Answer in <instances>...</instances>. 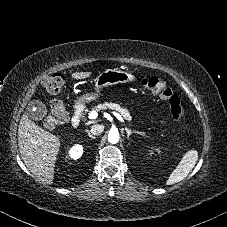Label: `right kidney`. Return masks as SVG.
<instances>
[{
	"mask_svg": "<svg viewBox=\"0 0 227 227\" xmlns=\"http://www.w3.org/2000/svg\"><path fill=\"white\" fill-rule=\"evenodd\" d=\"M68 153L72 159L76 160L81 157L83 153V147L81 145H75L72 148H70Z\"/></svg>",
	"mask_w": 227,
	"mask_h": 227,
	"instance_id": "1",
	"label": "right kidney"
}]
</instances>
